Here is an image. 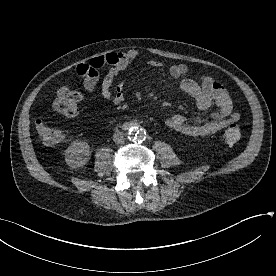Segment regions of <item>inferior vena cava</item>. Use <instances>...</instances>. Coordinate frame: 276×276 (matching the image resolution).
Segmentation results:
<instances>
[{
  "mask_svg": "<svg viewBox=\"0 0 276 276\" xmlns=\"http://www.w3.org/2000/svg\"><path fill=\"white\" fill-rule=\"evenodd\" d=\"M113 140L116 144H123L125 141L124 133L121 131H117L113 135Z\"/></svg>",
  "mask_w": 276,
  "mask_h": 276,
  "instance_id": "602c4592",
  "label": "inferior vena cava"
}]
</instances>
